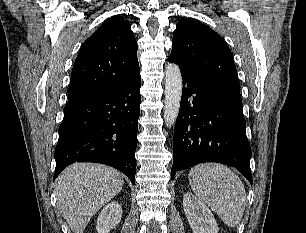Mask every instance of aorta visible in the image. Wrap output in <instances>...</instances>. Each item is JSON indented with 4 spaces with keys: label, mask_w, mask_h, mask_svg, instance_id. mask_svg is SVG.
Here are the masks:
<instances>
[{
    "label": "aorta",
    "mask_w": 306,
    "mask_h": 233,
    "mask_svg": "<svg viewBox=\"0 0 306 233\" xmlns=\"http://www.w3.org/2000/svg\"><path fill=\"white\" fill-rule=\"evenodd\" d=\"M182 96V76L177 64L170 63L165 70L164 120L171 127L178 116Z\"/></svg>",
    "instance_id": "obj_1"
}]
</instances>
